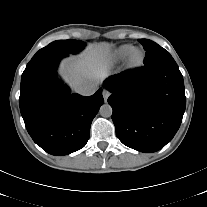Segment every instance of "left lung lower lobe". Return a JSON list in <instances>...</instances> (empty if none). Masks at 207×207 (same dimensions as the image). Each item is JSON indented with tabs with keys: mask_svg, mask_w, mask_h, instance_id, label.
Listing matches in <instances>:
<instances>
[{
	"mask_svg": "<svg viewBox=\"0 0 207 207\" xmlns=\"http://www.w3.org/2000/svg\"><path fill=\"white\" fill-rule=\"evenodd\" d=\"M108 103L120 141L137 151L162 149L176 134L185 112L183 76L174 59L109 77Z\"/></svg>",
	"mask_w": 207,
	"mask_h": 207,
	"instance_id": "left-lung-lower-lobe-1",
	"label": "left lung lower lobe"
}]
</instances>
